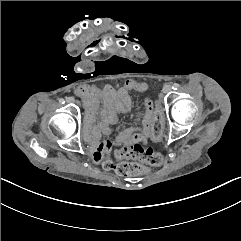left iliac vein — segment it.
Wrapping results in <instances>:
<instances>
[{
	"label": "left iliac vein",
	"mask_w": 241,
	"mask_h": 241,
	"mask_svg": "<svg viewBox=\"0 0 241 241\" xmlns=\"http://www.w3.org/2000/svg\"><path fill=\"white\" fill-rule=\"evenodd\" d=\"M163 94H167L171 91V86L169 84H165L163 87Z\"/></svg>",
	"instance_id": "4c4485c4"
}]
</instances>
